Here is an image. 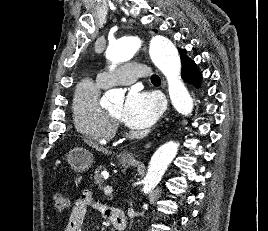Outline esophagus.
Here are the masks:
<instances>
[{
	"label": "esophagus",
	"mask_w": 268,
	"mask_h": 231,
	"mask_svg": "<svg viewBox=\"0 0 268 231\" xmlns=\"http://www.w3.org/2000/svg\"><path fill=\"white\" fill-rule=\"evenodd\" d=\"M144 51L146 52V47H144ZM168 120V117H165V121ZM163 122V123H164ZM163 123L160 125V127H163ZM157 132H159V130H157ZM150 146V141L146 142V144L144 145V147H149ZM138 148H133L132 150L130 151H125L123 154H122V160H126V161H135V156L136 154L138 153Z\"/></svg>",
	"instance_id": "34e87169"
}]
</instances>
